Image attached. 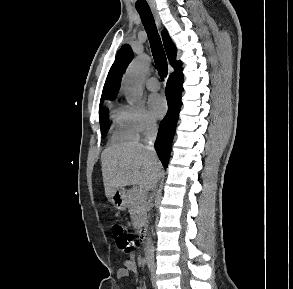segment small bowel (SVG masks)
I'll return each mask as SVG.
<instances>
[{
	"label": "small bowel",
	"mask_w": 293,
	"mask_h": 289,
	"mask_svg": "<svg viewBox=\"0 0 293 289\" xmlns=\"http://www.w3.org/2000/svg\"><path fill=\"white\" fill-rule=\"evenodd\" d=\"M137 270V264L132 260L128 259L124 262L123 266L117 271V277L127 278L131 274L135 273ZM140 289H145L144 287H141Z\"/></svg>",
	"instance_id": "obj_1"
}]
</instances>
